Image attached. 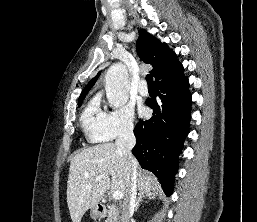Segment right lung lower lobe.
<instances>
[{"label":"right lung lower lobe","mask_w":257,"mask_h":222,"mask_svg":"<svg viewBox=\"0 0 257 222\" xmlns=\"http://www.w3.org/2000/svg\"><path fill=\"white\" fill-rule=\"evenodd\" d=\"M182 72L155 81V97L147 100L153 117L134 128L132 153L143 169L153 172L167 196L173 192L178 156L189 133L191 94ZM157 97V99H156Z\"/></svg>","instance_id":"1"}]
</instances>
